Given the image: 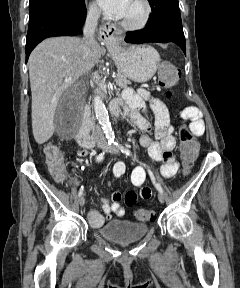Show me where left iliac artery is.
I'll return each mask as SVG.
<instances>
[{"label":"left iliac artery","mask_w":240,"mask_h":288,"mask_svg":"<svg viewBox=\"0 0 240 288\" xmlns=\"http://www.w3.org/2000/svg\"><path fill=\"white\" fill-rule=\"evenodd\" d=\"M114 144H115V145L121 150V152L124 153L125 155H127V156H131V155H132L131 152H130V150H129L127 147H125V146H123V145H120V144H118V143H116V142H115ZM148 173H149L150 178H151L154 186L156 187V189H157L160 193H163V189H162L161 185H160L158 182H156V179H155L152 171L148 169Z\"/></svg>","instance_id":"44dca946"}]
</instances>
